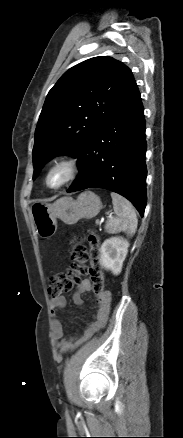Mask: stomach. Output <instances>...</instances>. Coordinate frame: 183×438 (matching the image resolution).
Instances as JSON below:
<instances>
[{
    "mask_svg": "<svg viewBox=\"0 0 183 438\" xmlns=\"http://www.w3.org/2000/svg\"><path fill=\"white\" fill-rule=\"evenodd\" d=\"M100 197L91 191L81 193L77 200L62 197L53 204L35 202L30 207V215L40 238H51L57 231V218L65 224L73 225L82 218L91 219L101 210Z\"/></svg>",
    "mask_w": 183,
    "mask_h": 438,
    "instance_id": "stomach-1",
    "label": "stomach"
}]
</instances>
